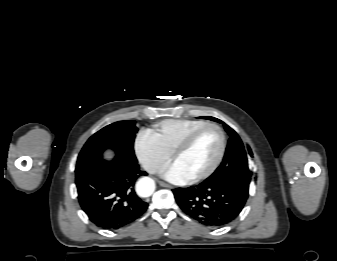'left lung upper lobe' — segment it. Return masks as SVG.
I'll return each instance as SVG.
<instances>
[{"mask_svg": "<svg viewBox=\"0 0 337 261\" xmlns=\"http://www.w3.org/2000/svg\"><path fill=\"white\" fill-rule=\"evenodd\" d=\"M206 118L222 123L230 135V139L221 165L205 182H217L229 185L245 197H248L251 173L248 168L247 154L240 137L224 122L213 117ZM248 151L252 155L249 147Z\"/></svg>", "mask_w": 337, "mask_h": 261, "instance_id": "1", "label": "left lung upper lobe"}]
</instances>
